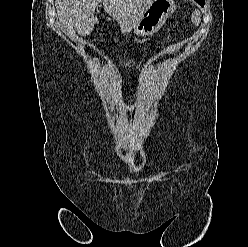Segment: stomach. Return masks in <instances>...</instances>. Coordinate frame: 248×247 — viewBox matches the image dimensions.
Returning a JSON list of instances; mask_svg holds the SVG:
<instances>
[{
	"instance_id": "1",
	"label": "stomach",
	"mask_w": 248,
	"mask_h": 247,
	"mask_svg": "<svg viewBox=\"0 0 248 247\" xmlns=\"http://www.w3.org/2000/svg\"><path fill=\"white\" fill-rule=\"evenodd\" d=\"M175 9L174 0H151L132 27L134 34L145 37L157 32Z\"/></svg>"
}]
</instances>
